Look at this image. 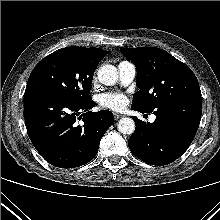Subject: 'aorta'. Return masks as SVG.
Here are the masks:
<instances>
[{"label":"aorta","mask_w":220,"mask_h":220,"mask_svg":"<svg viewBox=\"0 0 220 220\" xmlns=\"http://www.w3.org/2000/svg\"><path fill=\"white\" fill-rule=\"evenodd\" d=\"M97 76L100 83L111 86L116 83L118 72L115 66L106 64L99 68ZM117 127L120 133L131 135L135 131V122L133 119L125 117L118 121Z\"/></svg>","instance_id":"1"}]
</instances>
